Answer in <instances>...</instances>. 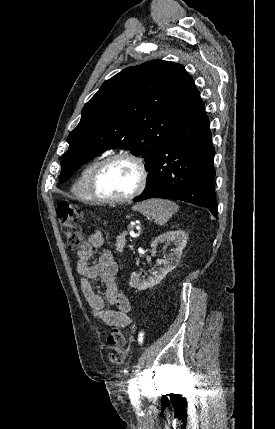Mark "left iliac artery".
Masks as SVG:
<instances>
[{
  "mask_svg": "<svg viewBox=\"0 0 275 429\" xmlns=\"http://www.w3.org/2000/svg\"><path fill=\"white\" fill-rule=\"evenodd\" d=\"M143 336H144V333H143V332H140V333H139V336H138V341H139V343H140V344L143 342ZM130 398H131L132 403H133L134 405H137V404H138V401H139V394H138V392H137V390H136V386H135V381H134V380H132V381L130 382Z\"/></svg>",
  "mask_w": 275,
  "mask_h": 429,
  "instance_id": "44dca946",
  "label": "left iliac artery"
}]
</instances>
